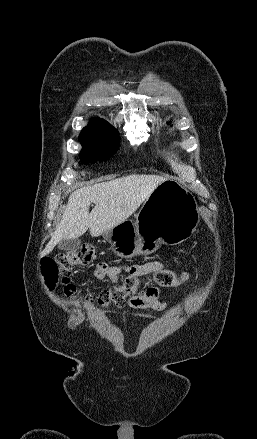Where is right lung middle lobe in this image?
Masks as SVG:
<instances>
[{
    "label": "right lung middle lobe",
    "instance_id": "obj_1",
    "mask_svg": "<svg viewBox=\"0 0 257 439\" xmlns=\"http://www.w3.org/2000/svg\"><path fill=\"white\" fill-rule=\"evenodd\" d=\"M119 140L118 131L110 124L99 120L91 121L79 136L83 146L80 158L85 162L97 159L104 161L117 151Z\"/></svg>",
    "mask_w": 257,
    "mask_h": 439
}]
</instances>
